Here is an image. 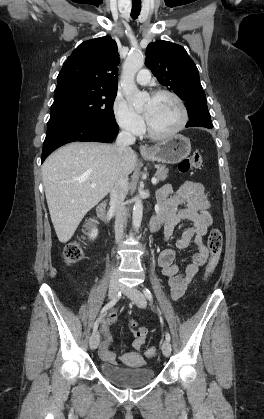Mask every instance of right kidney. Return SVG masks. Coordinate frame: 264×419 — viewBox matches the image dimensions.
<instances>
[{"label": "right kidney", "mask_w": 264, "mask_h": 419, "mask_svg": "<svg viewBox=\"0 0 264 419\" xmlns=\"http://www.w3.org/2000/svg\"><path fill=\"white\" fill-rule=\"evenodd\" d=\"M97 234H98L97 229H92V230H91V233H90V237H91L92 239H94V238L97 236Z\"/></svg>", "instance_id": "right-kidney-1"}]
</instances>
